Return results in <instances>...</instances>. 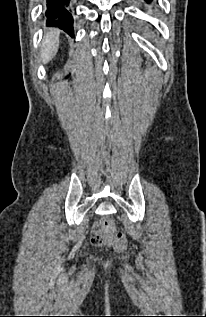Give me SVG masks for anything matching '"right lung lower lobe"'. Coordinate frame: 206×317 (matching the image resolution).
<instances>
[{
	"instance_id": "obj_1",
	"label": "right lung lower lobe",
	"mask_w": 206,
	"mask_h": 317,
	"mask_svg": "<svg viewBox=\"0 0 206 317\" xmlns=\"http://www.w3.org/2000/svg\"><path fill=\"white\" fill-rule=\"evenodd\" d=\"M45 16L50 26L59 27L73 36V17L71 0H46Z\"/></svg>"
}]
</instances>
